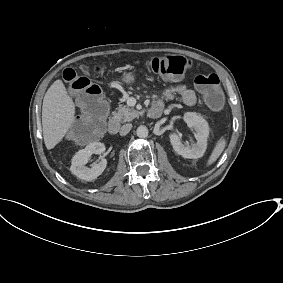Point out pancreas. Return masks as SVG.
Segmentation results:
<instances>
[{
    "instance_id": "pancreas-1",
    "label": "pancreas",
    "mask_w": 283,
    "mask_h": 283,
    "mask_svg": "<svg viewBox=\"0 0 283 283\" xmlns=\"http://www.w3.org/2000/svg\"><path fill=\"white\" fill-rule=\"evenodd\" d=\"M143 112L119 105L117 111L112 112V119L119 122H129L142 115Z\"/></svg>"
}]
</instances>
